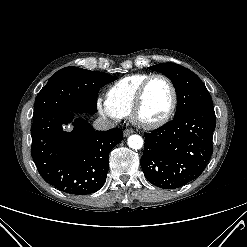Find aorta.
<instances>
[{"instance_id": "1", "label": "aorta", "mask_w": 247, "mask_h": 247, "mask_svg": "<svg viewBox=\"0 0 247 247\" xmlns=\"http://www.w3.org/2000/svg\"><path fill=\"white\" fill-rule=\"evenodd\" d=\"M128 146L134 150L141 149L143 146V139L139 135H131L127 140Z\"/></svg>"}]
</instances>
